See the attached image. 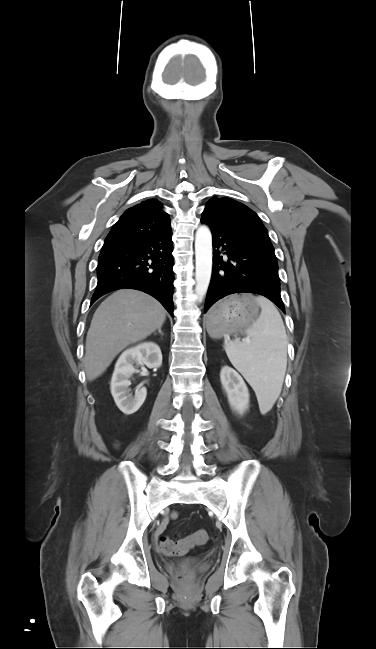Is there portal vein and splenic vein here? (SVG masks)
Wrapping results in <instances>:
<instances>
[{
	"label": "portal vein and splenic vein",
	"instance_id": "obj_1",
	"mask_svg": "<svg viewBox=\"0 0 376 649\" xmlns=\"http://www.w3.org/2000/svg\"><path fill=\"white\" fill-rule=\"evenodd\" d=\"M245 341H246V342H249V341H250V339H249V338H247V339H246Z\"/></svg>",
	"mask_w": 376,
	"mask_h": 649
}]
</instances>
